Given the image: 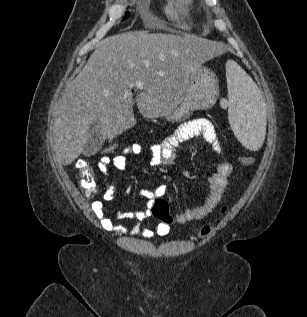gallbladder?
Segmentation results:
<instances>
[{
  "label": "gallbladder",
  "mask_w": 307,
  "mask_h": 317,
  "mask_svg": "<svg viewBox=\"0 0 307 317\" xmlns=\"http://www.w3.org/2000/svg\"><path fill=\"white\" fill-rule=\"evenodd\" d=\"M103 142L104 140L101 134L100 122L96 120L90 125L89 137L84 146L83 154L86 157L94 155L99 150Z\"/></svg>",
  "instance_id": "1"
}]
</instances>
